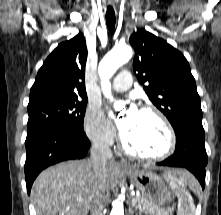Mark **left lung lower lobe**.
<instances>
[{
  "instance_id": "0a47b994",
  "label": "left lung lower lobe",
  "mask_w": 221,
  "mask_h": 215,
  "mask_svg": "<svg viewBox=\"0 0 221 215\" xmlns=\"http://www.w3.org/2000/svg\"><path fill=\"white\" fill-rule=\"evenodd\" d=\"M175 134L176 148L174 154L157 164L188 169L196 176L204 189L207 153L204 145L205 133L202 122L184 121L175 131Z\"/></svg>"
}]
</instances>
